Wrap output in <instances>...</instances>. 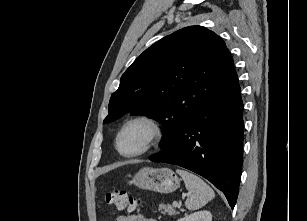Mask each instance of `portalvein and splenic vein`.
<instances>
[{
    "instance_id": "18ae733b",
    "label": "portal vein and splenic vein",
    "mask_w": 307,
    "mask_h": 221,
    "mask_svg": "<svg viewBox=\"0 0 307 221\" xmlns=\"http://www.w3.org/2000/svg\"><path fill=\"white\" fill-rule=\"evenodd\" d=\"M173 206H174V207H179L178 202H173Z\"/></svg>"
}]
</instances>
